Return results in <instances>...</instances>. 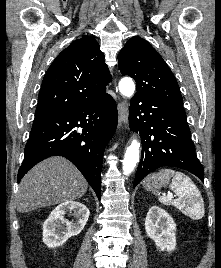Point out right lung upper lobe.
<instances>
[{"label": "right lung upper lobe", "instance_id": "obj_1", "mask_svg": "<svg viewBox=\"0 0 221 268\" xmlns=\"http://www.w3.org/2000/svg\"><path fill=\"white\" fill-rule=\"evenodd\" d=\"M111 81L98 42L83 36L71 43L47 70L38 96L35 116L62 113L96 103Z\"/></svg>", "mask_w": 221, "mask_h": 268}]
</instances>
